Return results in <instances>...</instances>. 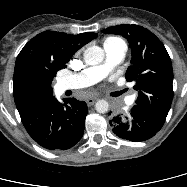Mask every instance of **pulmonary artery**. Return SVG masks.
I'll list each match as a JSON object with an SVG mask.
<instances>
[{"instance_id": "e3ab8cb5", "label": "pulmonary artery", "mask_w": 187, "mask_h": 187, "mask_svg": "<svg viewBox=\"0 0 187 187\" xmlns=\"http://www.w3.org/2000/svg\"><path fill=\"white\" fill-rule=\"evenodd\" d=\"M106 63L85 69L83 72L63 78L59 82L62 91L90 86L104 78L111 69L121 63L126 55L124 42L104 46ZM134 98V97H133ZM132 98V99H133Z\"/></svg>"}]
</instances>
